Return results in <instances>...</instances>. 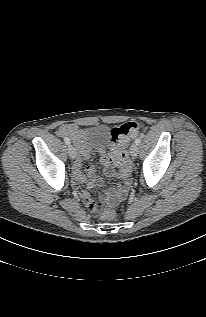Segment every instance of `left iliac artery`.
Segmentation results:
<instances>
[{"label": "left iliac artery", "mask_w": 206, "mask_h": 317, "mask_svg": "<svg viewBox=\"0 0 206 317\" xmlns=\"http://www.w3.org/2000/svg\"><path fill=\"white\" fill-rule=\"evenodd\" d=\"M141 143V139L140 138H137L136 140H135V144L136 145H139Z\"/></svg>", "instance_id": "44dca946"}]
</instances>
